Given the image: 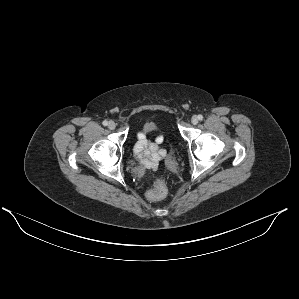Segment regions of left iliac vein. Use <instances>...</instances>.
<instances>
[{"label":"left iliac vein","instance_id":"left-iliac-vein-1","mask_svg":"<svg viewBox=\"0 0 299 299\" xmlns=\"http://www.w3.org/2000/svg\"><path fill=\"white\" fill-rule=\"evenodd\" d=\"M198 121H199V119H198V117L195 116V115L191 118V122H192V124H194V125H196V124L198 123Z\"/></svg>","mask_w":299,"mask_h":299}]
</instances>
